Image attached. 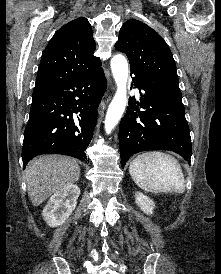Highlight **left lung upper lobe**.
Segmentation results:
<instances>
[{
  "mask_svg": "<svg viewBox=\"0 0 221 274\" xmlns=\"http://www.w3.org/2000/svg\"><path fill=\"white\" fill-rule=\"evenodd\" d=\"M115 49L127 55L130 69L180 91L176 64L168 45L145 23L135 19L126 21L120 29Z\"/></svg>",
  "mask_w": 221,
  "mask_h": 274,
  "instance_id": "1",
  "label": "left lung upper lobe"
}]
</instances>
